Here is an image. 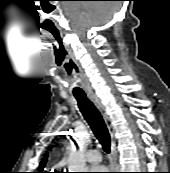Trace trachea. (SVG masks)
Wrapping results in <instances>:
<instances>
[{"instance_id":"1","label":"trachea","mask_w":170,"mask_h":173,"mask_svg":"<svg viewBox=\"0 0 170 173\" xmlns=\"http://www.w3.org/2000/svg\"><path fill=\"white\" fill-rule=\"evenodd\" d=\"M74 97L76 98L78 107L91 127L95 137L102 145L104 151L110 153L111 138L100 111L87 98L85 93H74Z\"/></svg>"}]
</instances>
